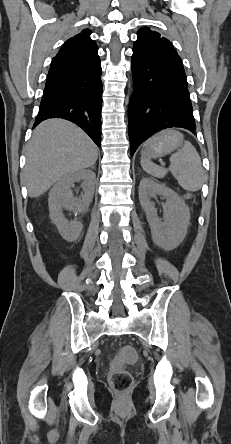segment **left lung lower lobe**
Returning a JSON list of instances; mask_svg holds the SVG:
<instances>
[{"label":"left lung lower lobe","instance_id":"1","mask_svg":"<svg viewBox=\"0 0 231 444\" xmlns=\"http://www.w3.org/2000/svg\"><path fill=\"white\" fill-rule=\"evenodd\" d=\"M134 93L129 106L131 155L154 133L171 127L196 129L186 74L170 62L132 55Z\"/></svg>","mask_w":231,"mask_h":444}]
</instances>
